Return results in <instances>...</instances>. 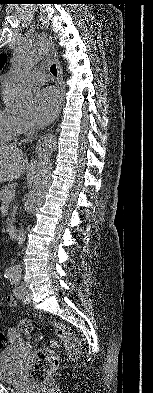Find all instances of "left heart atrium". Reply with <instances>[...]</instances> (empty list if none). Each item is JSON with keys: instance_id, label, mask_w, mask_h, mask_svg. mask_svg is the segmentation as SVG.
I'll list each match as a JSON object with an SVG mask.
<instances>
[{"instance_id": "39dd6f15", "label": "left heart atrium", "mask_w": 153, "mask_h": 393, "mask_svg": "<svg viewBox=\"0 0 153 393\" xmlns=\"http://www.w3.org/2000/svg\"><path fill=\"white\" fill-rule=\"evenodd\" d=\"M61 103L58 91L46 87L37 92L34 99L33 120L39 126L49 124L56 116Z\"/></svg>"}]
</instances>
